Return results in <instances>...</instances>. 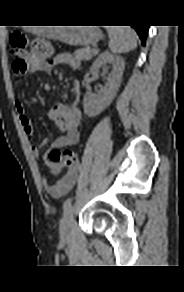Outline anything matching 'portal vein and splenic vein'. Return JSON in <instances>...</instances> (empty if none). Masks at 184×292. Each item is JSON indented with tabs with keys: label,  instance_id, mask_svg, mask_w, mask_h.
I'll list each match as a JSON object with an SVG mask.
<instances>
[{
	"label": "portal vein and splenic vein",
	"instance_id": "18ae733b",
	"mask_svg": "<svg viewBox=\"0 0 184 292\" xmlns=\"http://www.w3.org/2000/svg\"><path fill=\"white\" fill-rule=\"evenodd\" d=\"M93 52H94V53H97V52H98V50H97V49H93Z\"/></svg>",
	"mask_w": 184,
	"mask_h": 292
}]
</instances>
